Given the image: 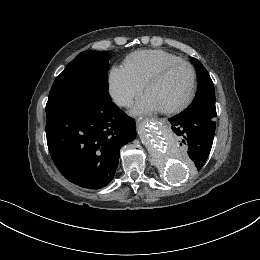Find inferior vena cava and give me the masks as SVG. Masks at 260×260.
Instances as JSON below:
<instances>
[{"mask_svg":"<svg viewBox=\"0 0 260 260\" xmlns=\"http://www.w3.org/2000/svg\"><path fill=\"white\" fill-rule=\"evenodd\" d=\"M114 102L118 106H127L132 103V100L128 96L117 95L114 97Z\"/></svg>","mask_w":260,"mask_h":260,"instance_id":"602c4592","label":"inferior vena cava"}]
</instances>
